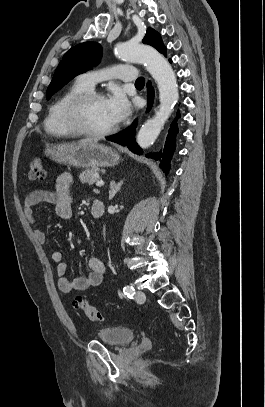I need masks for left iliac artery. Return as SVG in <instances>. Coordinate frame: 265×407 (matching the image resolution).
I'll return each mask as SVG.
<instances>
[{
	"instance_id": "44dca946",
	"label": "left iliac artery",
	"mask_w": 265,
	"mask_h": 407,
	"mask_svg": "<svg viewBox=\"0 0 265 407\" xmlns=\"http://www.w3.org/2000/svg\"><path fill=\"white\" fill-rule=\"evenodd\" d=\"M123 292H124L125 295L132 298L134 296V294H135V289L132 286H125L123 288Z\"/></svg>"
}]
</instances>
